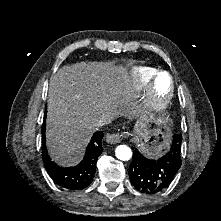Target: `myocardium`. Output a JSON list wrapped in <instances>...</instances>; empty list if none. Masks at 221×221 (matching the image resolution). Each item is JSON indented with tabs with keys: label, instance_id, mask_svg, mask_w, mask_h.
Returning <instances> with one entry per match:
<instances>
[{
	"label": "myocardium",
	"instance_id": "obj_1",
	"mask_svg": "<svg viewBox=\"0 0 221 221\" xmlns=\"http://www.w3.org/2000/svg\"><path fill=\"white\" fill-rule=\"evenodd\" d=\"M162 74H165L169 79V91L163 98L156 99L153 95V89H154L157 78ZM173 94H174V82H173V78L171 74L167 71L158 72L153 77L152 84H151V92L149 93L148 98H147V105H148L149 112L151 114H155L165 109L171 102L173 98Z\"/></svg>",
	"mask_w": 221,
	"mask_h": 221
}]
</instances>
